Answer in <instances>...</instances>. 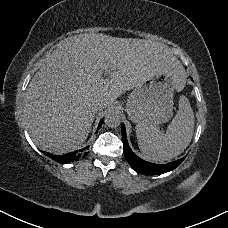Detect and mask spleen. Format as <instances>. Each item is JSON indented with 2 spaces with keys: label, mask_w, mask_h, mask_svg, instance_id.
Returning <instances> with one entry per match:
<instances>
[{
  "label": "spleen",
  "mask_w": 228,
  "mask_h": 228,
  "mask_svg": "<svg viewBox=\"0 0 228 228\" xmlns=\"http://www.w3.org/2000/svg\"><path fill=\"white\" fill-rule=\"evenodd\" d=\"M194 131V113L189 100L179 98V110L169 124L166 133L153 125L139 122L136 135L144 160L163 163L180 155L191 142Z\"/></svg>",
  "instance_id": "3e777b00"
}]
</instances>
